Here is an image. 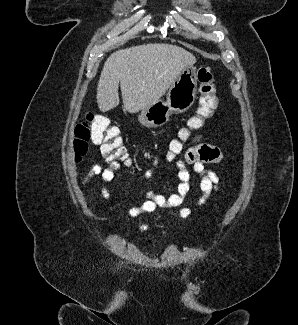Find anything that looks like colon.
<instances>
[{"label": "colon", "mask_w": 298, "mask_h": 325, "mask_svg": "<svg viewBox=\"0 0 298 325\" xmlns=\"http://www.w3.org/2000/svg\"><path fill=\"white\" fill-rule=\"evenodd\" d=\"M197 80L200 93L198 107L195 114L188 119L187 126L179 131L178 138L170 142L167 152L169 160H174L182 152L183 142L189 139L193 131L205 126L217 107L211 68L200 67ZM89 142L100 145L102 154L107 158L128 163V153L123 146L120 131L107 117L88 114L84 121L75 126L73 149L77 161L86 154Z\"/></svg>", "instance_id": "5ec220e1"}]
</instances>
